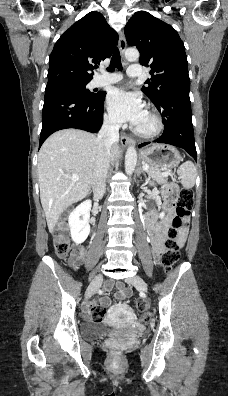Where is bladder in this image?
<instances>
[{"label": "bladder", "mask_w": 228, "mask_h": 396, "mask_svg": "<svg viewBox=\"0 0 228 396\" xmlns=\"http://www.w3.org/2000/svg\"><path fill=\"white\" fill-rule=\"evenodd\" d=\"M114 332L111 326L101 325L96 322L85 324L82 329V334L87 340H96L105 338L110 333Z\"/></svg>", "instance_id": "bladder-1"}]
</instances>
